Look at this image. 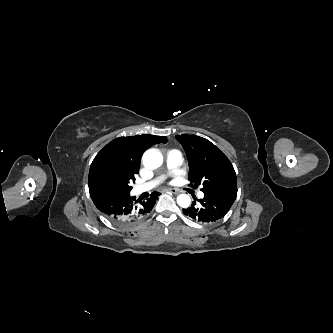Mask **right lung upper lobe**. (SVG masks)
Instances as JSON below:
<instances>
[{
	"label": "right lung upper lobe",
	"mask_w": 333,
	"mask_h": 333,
	"mask_svg": "<svg viewBox=\"0 0 333 333\" xmlns=\"http://www.w3.org/2000/svg\"><path fill=\"white\" fill-rule=\"evenodd\" d=\"M164 136L136 135L119 137L108 143L94 158L92 165L105 159L123 163L135 170L140 168V159L145 150L157 143H166ZM94 186L89 183V189Z\"/></svg>",
	"instance_id": "obj_1"
}]
</instances>
